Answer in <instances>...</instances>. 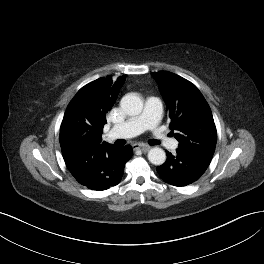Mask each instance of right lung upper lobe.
<instances>
[{
	"instance_id": "cb5924a9",
	"label": "right lung upper lobe",
	"mask_w": 264,
	"mask_h": 264,
	"mask_svg": "<svg viewBox=\"0 0 264 264\" xmlns=\"http://www.w3.org/2000/svg\"><path fill=\"white\" fill-rule=\"evenodd\" d=\"M125 76L99 78L79 90L68 105L61 129L60 145L66 150L101 143L103 126L114 105Z\"/></svg>"
}]
</instances>
